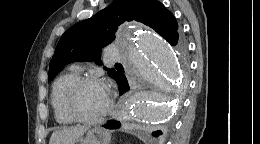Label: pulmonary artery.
Listing matches in <instances>:
<instances>
[{"mask_svg": "<svg viewBox=\"0 0 260 144\" xmlns=\"http://www.w3.org/2000/svg\"><path fill=\"white\" fill-rule=\"evenodd\" d=\"M106 53L111 60H122L124 58V56L114 47H109L106 50Z\"/></svg>", "mask_w": 260, "mask_h": 144, "instance_id": "obj_1", "label": "pulmonary artery"}]
</instances>
